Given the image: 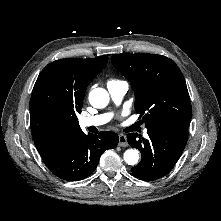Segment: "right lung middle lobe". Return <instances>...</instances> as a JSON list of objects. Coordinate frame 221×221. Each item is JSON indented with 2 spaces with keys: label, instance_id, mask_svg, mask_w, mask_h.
Wrapping results in <instances>:
<instances>
[{
  "label": "right lung middle lobe",
  "instance_id": "1",
  "mask_svg": "<svg viewBox=\"0 0 221 221\" xmlns=\"http://www.w3.org/2000/svg\"><path fill=\"white\" fill-rule=\"evenodd\" d=\"M84 94L81 93L59 62L48 64L34 85L30 110L69 123H78Z\"/></svg>",
  "mask_w": 221,
  "mask_h": 221
}]
</instances>
